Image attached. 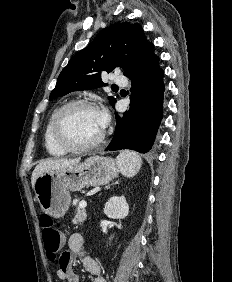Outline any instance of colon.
I'll return each instance as SVG.
<instances>
[{
	"label": "colon",
	"mask_w": 232,
	"mask_h": 282,
	"mask_svg": "<svg viewBox=\"0 0 232 282\" xmlns=\"http://www.w3.org/2000/svg\"><path fill=\"white\" fill-rule=\"evenodd\" d=\"M42 239L49 260H55L62 246V233L48 215L41 216Z\"/></svg>",
	"instance_id": "colon-1"
}]
</instances>
